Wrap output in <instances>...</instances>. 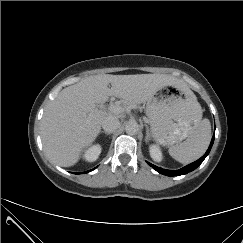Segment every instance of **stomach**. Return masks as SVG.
Returning a JSON list of instances; mask_svg holds the SVG:
<instances>
[{"label":"stomach","instance_id":"0dacf381","mask_svg":"<svg viewBox=\"0 0 243 243\" xmlns=\"http://www.w3.org/2000/svg\"><path fill=\"white\" fill-rule=\"evenodd\" d=\"M197 103L189 89L165 86L155 93L146 105L154 140L173 145L189 136L198 125Z\"/></svg>","mask_w":243,"mask_h":243}]
</instances>
